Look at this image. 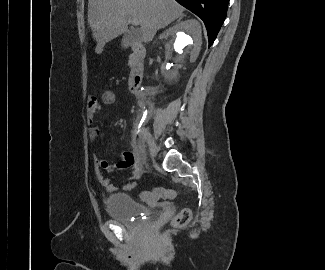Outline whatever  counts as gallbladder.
<instances>
[{"label": "gallbladder", "instance_id": "bac80fb5", "mask_svg": "<svg viewBox=\"0 0 325 270\" xmlns=\"http://www.w3.org/2000/svg\"><path fill=\"white\" fill-rule=\"evenodd\" d=\"M140 40V35L135 31H127L122 39V45L128 47L131 43Z\"/></svg>", "mask_w": 325, "mask_h": 270}]
</instances>
